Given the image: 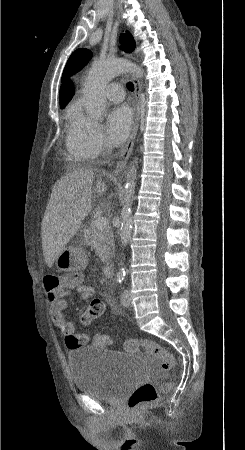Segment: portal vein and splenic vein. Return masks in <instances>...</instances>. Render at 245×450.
Returning <instances> with one entry per match:
<instances>
[{"instance_id":"1","label":"portal vein and splenic vein","mask_w":245,"mask_h":450,"mask_svg":"<svg viewBox=\"0 0 245 450\" xmlns=\"http://www.w3.org/2000/svg\"><path fill=\"white\" fill-rule=\"evenodd\" d=\"M94 226H95V228H97L99 230H103V229L107 228L108 221L104 217H99L94 221Z\"/></svg>"}]
</instances>
